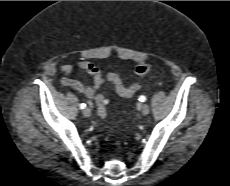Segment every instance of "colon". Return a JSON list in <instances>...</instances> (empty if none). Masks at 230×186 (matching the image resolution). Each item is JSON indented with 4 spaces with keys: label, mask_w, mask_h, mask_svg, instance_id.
<instances>
[{
    "label": "colon",
    "mask_w": 230,
    "mask_h": 186,
    "mask_svg": "<svg viewBox=\"0 0 230 186\" xmlns=\"http://www.w3.org/2000/svg\"><path fill=\"white\" fill-rule=\"evenodd\" d=\"M151 70H152V66L150 64L142 63V64H139L136 66L135 73L138 77H144ZM107 78L114 85H118L119 77L116 74L110 73ZM139 87H140V84L135 83V84L131 85L130 87H128L127 89L123 90L122 93L126 94V95L134 94L139 89ZM96 104H97L98 114L101 117H105L107 115V108H106L107 101H106V99L105 98H99L97 100Z\"/></svg>",
    "instance_id": "colon-1"
}]
</instances>
